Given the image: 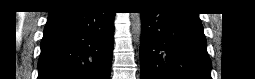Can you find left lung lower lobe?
<instances>
[{
    "mask_svg": "<svg viewBox=\"0 0 255 79\" xmlns=\"http://www.w3.org/2000/svg\"><path fill=\"white\" fill-rule=\"evenodd\" d=\"M140 64L141 79H211L198 14L168 5L143 12Z\"/></svg>",
    "mask_w": 255,
    "mask_h": 79,
    "instance_id": "obj_1",
    "label": "left lung lower lobe"
}]
</instances>
